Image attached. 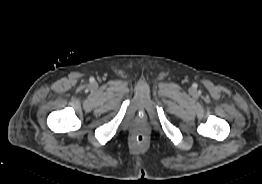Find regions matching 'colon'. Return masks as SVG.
Instances as JSON below:
<instances>
[{
    "instance_id": "5ec220e1",
    "label": "colon",
    "mask_w": 262,
    "mask_h": 184,
    "mask_svg": "<svg viewBox=\"0 0 262 184\" xmlns=\"http://www.w3.org/2000/svg\"><path fill=\"white\" fill-rule=\"evenodd\" d=\"M144 135L142 134V133H138L137 135H136V139H137V141H141V142H143L144 141Z\"/></svg>"
}]
</instances>
